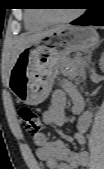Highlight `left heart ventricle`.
<instances>
[{
  "label": "left heart ventricle",
  "instance_id": "obj_1",
  "mask_svg": "<svg viewBox=\"0 0 104 169\" xmlns=\"http://www.w3.org/2000/svg\"><path fill=\"white\" fill-rule=\"evenodd\" d=\"M70 12L72 11H68V10H57V11H53L50 13V15L54 18H62L65 17L67 15L70 14Z\"/></svg>",
  "mask_w": 104,
  "mask_h": 169
}]
</instances>
